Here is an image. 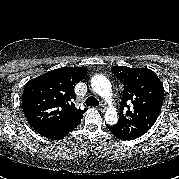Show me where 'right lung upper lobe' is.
<instances>
[{"label": "right lung upper lobe", "instance_id": "right-lung-upper-lobe-1", "mask_svg": "<svg viewBox=\"0 0 179 179\" xmlns=\"http://www.w3.org/2000/svg\"><path fill=\"white\" fill-rule=\"evenodd\" d=\"M86 73V67H62L28 81L22 107L28 122L39 134L56 140L79 125L87 108L75 107L74 86Z\"/></svg>", "mask_w": 179, "mask_h": 179}]
</instances>
